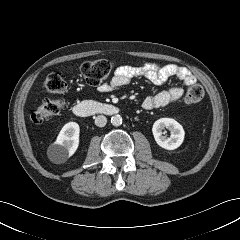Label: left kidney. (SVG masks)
Wrapping results in <instances>:
<instances>
[{"mask_svg":"<svg viewBox=\"0 0 240 240\" xmlns=\"http://www.w3.org/2000/svg\"><path fill=\"white\" fill-rule=\"evenodd\" d=\"M164 128L170 130V137L162 135ZM152 133L156 143L167 150L178 148L183 143L185 135L182 125L172 118H161L155 121L152 127Z\"/></svg>","mask_w":240,"mask_h":240,"instance_id":"obj_1","label":"left kidney"}]
</instances>
